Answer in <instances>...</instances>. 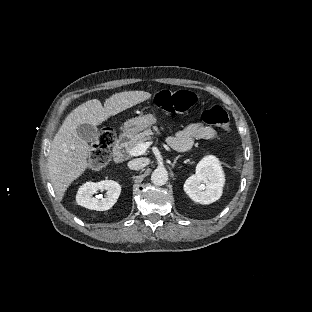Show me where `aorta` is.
<instances>
[{"label": "aorta", "instance_id": "obj_1", "mask_svg": "<svg viewBox=\"0 0 312 312\" xmlns=\"http://www.w3.org/2000/svg\"><path fill=\"white\" fill-rule=\"evenodd\" d=\"M151 181L154 185L162 186L168 181V172L164 167L156 168L152 175Z\"/></svg>", "mask_w": 312, "mask_h": 312}]
</instances>
